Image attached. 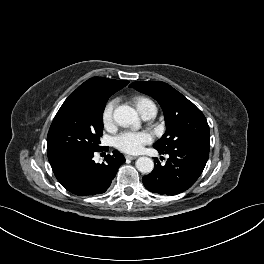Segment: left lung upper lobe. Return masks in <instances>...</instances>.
<instances>
[{
  "label": "left lung upper lobe",
  "mask_w": 264,
  "mask_h": 264,
  "mask_svg": "<svg viewBox=\"0 0 264 264\" xmlns=\"http://www.w3.org/2000/svg\"><path fill=\"white\" fill-rule=\"evenodd\" d=\"M131 88L152 96L164 112L166 132L154 145L162 151L182 143L210 146V131L203 113L180 92L164 82L137 81Z\"/></svg>",
  "instance_id": "1"
}]
</instances>
